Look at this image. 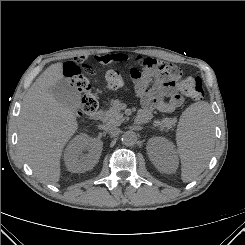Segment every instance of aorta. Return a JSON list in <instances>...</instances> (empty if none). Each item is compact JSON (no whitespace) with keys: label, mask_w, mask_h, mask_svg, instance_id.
Masks as SVG:
<instances>
[{"label":"aorta","mask_w":245,"mask_h":245,"mask_svg":"<svg viewBox=\"0 0 245 245\" xmlns=\"http://www.w3.org/2000/svg\"><path fill=\"white\" fill-rule=\"evenodd\" d=\"M137 134L134 131H126L122 135V143L127 146H132L137 142Z\"/></svg>","instance_id":"obj_1"}]
</instances>
